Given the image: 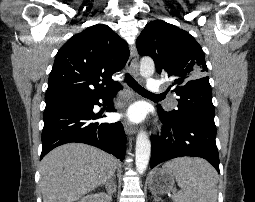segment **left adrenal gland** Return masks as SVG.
<instances>
[{"instance_id": "1", "label": "left adrenal gland", "mask_w": 255, "mask_h": 202, "mask_svg": "<svg viewBox=\"0 0 255 202\" xmlns=\"http://www.w3.org/2000/svg\"><path fill=\"white\" fill-rule=\"evenodd\" d=\"M154 201H155V202H158V201H159V199H158L157 196H154Z\"/></svg>"}]
</instances>
